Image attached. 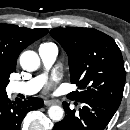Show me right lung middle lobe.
Segmentation results:
<instances>
[{"mask_svg":"<svg viewBox=\"0 0 130 130\" xmlns=\"http://www.w3.org/2000/svg\"><path fill=\"white\" fill-rule=\"evenodd\" d=\"M7 84H8V80L0 81V92L5 91V87L7 86Z\"/></svg>","mask_w":130,"mask_h":130,"instance_id":"1","label":"right lung middle lobe"}]
</instances>
